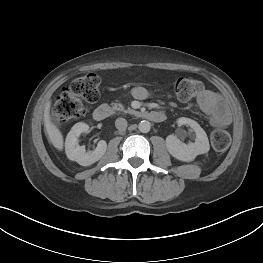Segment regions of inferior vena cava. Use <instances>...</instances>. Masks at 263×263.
I'll return each mask as SVG.
<instances>
[{
    "label": "inferior vena cava",
    "mask_w": 263,
    "mask_h": 263,
    "mask_svg": "<svg viewBox=\"0 0 263 263\" xmlns=\"http://www.w3.org/2000/svg\"><path fill=\"white\" fill-rule=\"evenodd\" d=\"M115 126L119 131H124L127 128V121L125 118H118L115 121Z\"/></svg>",
    "instance_id": "obj_1"
}]
</instances>
